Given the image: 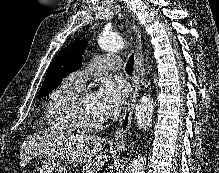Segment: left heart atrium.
<instances>
[{
    "instance_id": "left-heart-atrium-1",
    "label": "left heart atrium",
    "mask_w": 219,
    "mask_h": 173,
    "mask_svg": "<svg viewBox=\"0 0 219 173\" xmlns=\"http://www.w3.org/2000/svg\"><path fill=\"white\" fill-rule=\"evenodd\" d=\"M128 91L126 86L119 82L105 81L95 93L97 108L103 119L117 115L123 107Z\"/></svg>"
}]
</instances>
